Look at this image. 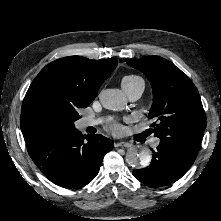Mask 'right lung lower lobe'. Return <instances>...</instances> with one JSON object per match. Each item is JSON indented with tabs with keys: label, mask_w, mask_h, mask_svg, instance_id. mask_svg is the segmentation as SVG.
Here are the masks:
<instances>
[{
	"label": "right lung lower lobe",
	"mask_w": 221,
	"mask_h": 221,
	"mask_svg": "<svg viewBox=\"0 0 221 221\" xmlns=\"http://www.w3.org/2000/svg\"><path fill=\"white\" fill-rule=\"evenodd\" d=\"M86 137L76 131L48 134L27 143L28 153L41 172L64 188H81L98 174L112 140L100 135Z\"/></svg>",
	"instance_id": "1"
}]
</instances>
